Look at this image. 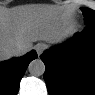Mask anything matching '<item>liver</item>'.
<instances>
[{
  "label": "liver",
  "instance_id": "liver-1",
  "mask_svg": "<svg viewBox=\"0 0 95 95\" xmlns=\"http://www.w3.org/2000/svg\"><path fill=\"white\" fill-rule=\"evenodd\" d=\"M71 12L56 5L27 4L0 11V60L14 56L11 50L19 44L28 52L33 42H56L72 34Z\"/></svg>",
  "mask_w": 95,
  "mask_h": 95
}]
</instances>
